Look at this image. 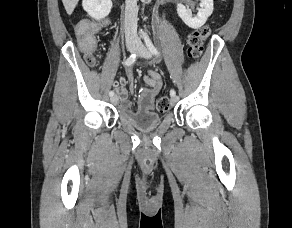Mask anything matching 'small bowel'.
<instances>
[{
  "label": "small bowel",
  "instance_id": "c3829d8e",
  "mask_svg": "<svg viewBox=\"0 0 292 228\" xmlns=\"http://www.w3.org/2000/svg\"><path fill=\"white\" fill-rule=\"evenodd\" d=\"M144 82L147 87L140 89L137 97V108L145 111H152L154 109V99L158 95L162 87L161 76L157 71L148 70L145 72ZM133 71H128L127 77H120L114 83V88L118 96V103L124 109H133L134 104L128 99V90L126 86L130 84V90L134 91L135 87L132 83Z\"/></svg>",
  "mask_w": 292,
  "mask_h": 228
}]
</instances>
